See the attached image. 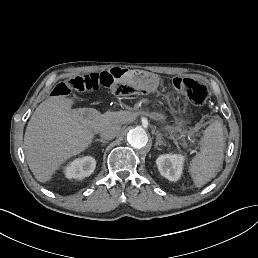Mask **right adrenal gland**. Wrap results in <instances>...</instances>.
Masks as SVG:
<instances>
[{"mask_svg":"<svg viewBox=\"0 0 258 258\" xmlns=\"http://www.w3.org/2000/svg\"><path fill=\"white\" fill-rule=\"evenodd\" d=\"M96 140L102 142V145L107 143V141L103 138H98Z\"/></svg>","mask_w":258,"mask_h":258,"instance_id":"2a0ac1e0","label":"right adrenal gland"}]
</instances>
